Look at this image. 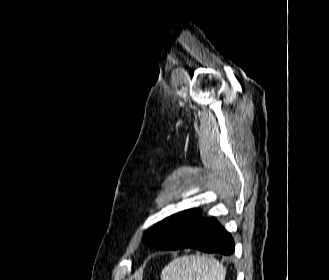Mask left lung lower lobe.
<instances>
[{"mask_svg":"<svg viewBox=\"0 0 329 280\" xmlns=\"http://www.w3.org/2000/svg\"><path fill=\"white\" fill-rule=\"evenodd\" d=\"M199 213L198 209L186 210L165 219L160 227L161 232L168 236V244L161 249L193 248L210 253L232 254L234 242L231 235L216 219H204Z\"/></svg>","mask_w":329,"mask_h":280,"instance_id":"1","label":"left lung lower lobe"}]
</instances>
